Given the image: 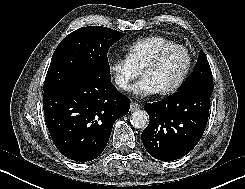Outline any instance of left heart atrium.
Listing matches in <instances>:
<instances>
[{"instance_id":"39dd6f15","label":"left heart atrium","mask_w":245,"mask_h":189,"mask_svg":"<svg viewBox=\"0 0 245 189\" xmlns=\"http://www.w3.org/2000/svg\"><path fill=\"white\" fill-rule=\"evenodd\" d=\"M133 93L139 97H147L158 93L159 91L147 80L142 77L132 89Z\"/></svg>"}]
</instances>
